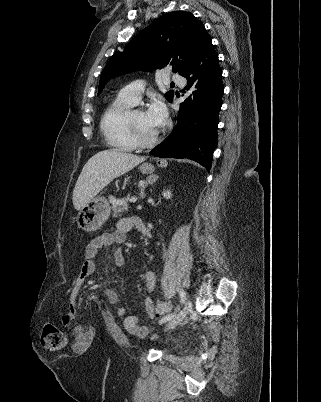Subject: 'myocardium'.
<instances>
[{
    "label": "myocardium",
    "mask_w": 321,
    "mask_h": 402,
    "mask_svg": "<svg viewBox=\"0 0 321 402\" xmlns=\"http://www.w3.org/2000/svg\"><path fill=\"white\" fill-rule=\"evenodd\" d=\"M136 111V110H134ZM134 111H130L127 113L126 115V128H127V132L130 136V138L132 139V141L134 142V144L137 147H141V148H148L153 146L160 138V131H158L153 137L145 139L143 138L138 131L136 130L133 120H132V113ZM141 111V110H140Z\"/></svg>",
    "instance_id": "f54148a6"
}]
</instances>
